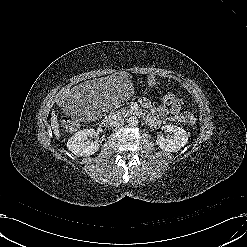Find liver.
<instances>
[{
	"instance_id": "6515ba94",
	"label": "liver",
	"mask_w": 247,
	"mask_h": 247,
	"mask_svg": "<svg viewBox=\"0 0 247 247\" xmlns=\"http://www.w3.org/2000/svg\"><path fill=\"white\" fill-rule=\"evenodd\" d=\"M51 127H52L54 135L56 136L57 139H59L61 137V133L59 130L58 119L54 111L52 112V115H51Z\"/></svg>"
}]
</instances>
